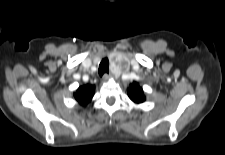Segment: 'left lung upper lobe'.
<instances>
[{"instance_id":"left-lung-upper-lobe-1","label":"left lung upper lobe","mask_w":225,"mask_h":155,"mask_svg":"<svg viewBox=\"0 0 225 155\" xmlns=\"http://www.w3.org/2000/svg\"><path fill=\"white\" fill-rule=\"evenodd\" d=\"M128 96L135 103H142L145 101L143 89L138 83H132L128 88Z\"/></svg>"}]
</instances>
